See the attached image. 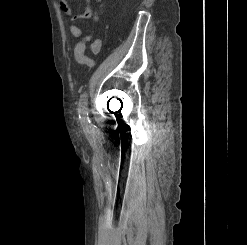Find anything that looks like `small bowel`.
Instances as JSON below:
<instances>
[{
    "label": "small bowel",
    "instance_id": "obj_1",
    "mask_svg": "<svg viewBox=\"0 0 247 245\" xmlns=\"http://www.w3.org/2000/svg\"><path fill=\"white\" fill-rule=\"evenodd\" d=\"M85 1H86L85 10L80 14L73 15L71 9L68 6L67 0H59L61 8L69 20L71 21L85 20L91 17H94L96 19V15L94 13L90 0H85ZM70 31L72 36L75 38H79L82 35V30L77 24H72L70 27ZM89 42H91V50L93 53H98L100 51L101 40L99 39L93 40V35L89 34L81 38L80 41H78L77 44L75 45L74 58L77 63L91 67L94 64V61L91 58H89L85 53L87 43Z\"/></svg>",
    "mask_w": 247,
    "mask_h": 245
}]
</instances>
